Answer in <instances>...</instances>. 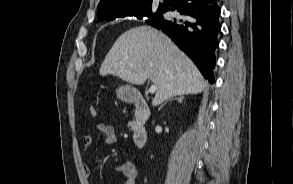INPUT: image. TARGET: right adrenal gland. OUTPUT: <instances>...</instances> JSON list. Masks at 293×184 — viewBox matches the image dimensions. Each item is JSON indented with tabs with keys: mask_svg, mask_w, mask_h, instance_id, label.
<instances>
[{
	"mask_svg": "<svg viewBox=\"0 0 293 184\" xmlns=\"http://www.w3.org/2000/svg\"><path fill=\"white\" fill-rule=\"evenodd\" d=\"M178 101V103H182L183 100H184V96L183 95H179L178 97L174 98ZM173 99H171L170 101H172ZM165 104L161 105V107L159 108V110L162 109V107L164 106Z\"/></svg>",
	"mask_w": 293,
	"mask_h": 184,
	"instance_id": "2a0ac1e0",
	"label": "right adrenal gland"
}]
</instances>
